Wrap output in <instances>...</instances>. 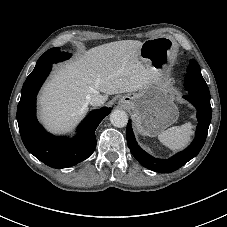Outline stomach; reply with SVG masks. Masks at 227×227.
Listing matches in <instances>:
<instances>
[{"label": "stomach", "mask_w": 227, "mask_h": 227, "mask_svg": "<svg viewBox=\"0 0 227 227\" xmlns=\"http://www.w3.org/2000/svg\"><path fill=\"white\" fill-rule=\"evenodd\" d=\"M173 50L162 39L145 41L139 52L140 60L158 72V78L146 85L138 93L127 94L123 99L132 111L135 126L139 133L155 136L176 122L178 109L174 104V93L162 82V72L166 70L172 58Z\"/></svg>", "instance_id": "1"}]
</instances>
